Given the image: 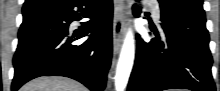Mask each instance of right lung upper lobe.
I'll list each match as a JSON object with an SVG mask.
<instances>
[{"instance_id": "1", "label": "right lung upper lobe", "mask_w": 220, "mask_h": 91, "mask_svg": "<svg viewBox=\"0 0 220 91\" xmlns=\"http://www.w3.org/2000/svg\"><path fill=\"white\" fill-rule=\"evenodd\" d=\"M29 1L30 0L25 1L23 9H22L23 12L28 11V10H32V9H35V8H39V7H42V6L52 5V4L56 3L58 0H34V1H37V4H35L31 7L26 5Z\"/></svg>"}]
</instances>
